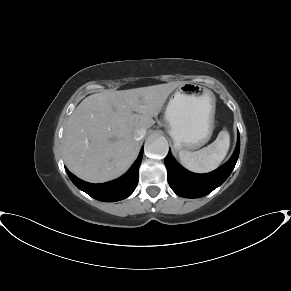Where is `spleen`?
I'll list each match as a JSON object with an SVG mask.
<instances>
[{"label":"spleen","instance_id":"3e777b00","mask_svg":"<svg viewBox=\"0 0 291 291\" xmlns=\"http://www.w3.org/2000/svg\"><path fill=\"white\" fill-rule=\"evenodd\" d=\"M230 146L228 131L219 132L216 140L196 152L181 150L179 159L182 165L195 173H208L220 165L227 155Z\"/></svg>","mask_w":291,"mask_h":291}]
</instances>
